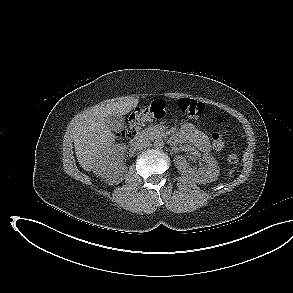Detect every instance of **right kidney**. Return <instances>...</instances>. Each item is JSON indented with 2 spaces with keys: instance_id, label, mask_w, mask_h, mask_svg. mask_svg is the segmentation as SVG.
<instances>
[{
  "instance_id": "1",
  "label": "right kidney",
  "mask_w": 293,
  "mask_h": 293,
  "mask_svg": "<svg viewBox=\"0 0 293 293\" xmlns=\"http://www.w3.org/2000/svg\"><path fill=\"white\" fill-rule=\"evenodd\" d=\"M124 170V166L121 165L119 168L115 169H107L105 172V176L103 178H106V181L108 184H114L117 183L119 180V174L122 173Z\"/></svg>"
}]
</instances>
